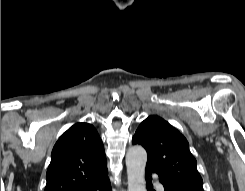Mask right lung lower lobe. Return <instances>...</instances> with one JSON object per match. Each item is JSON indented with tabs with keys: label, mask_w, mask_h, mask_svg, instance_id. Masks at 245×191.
<instances>
[{
	"label": "right lung lower lobe",
	"mask_w": 245,
	"mask_h": 191,
	"mask_svg": "<svg viewBox=\"0 0 245 191\" xmlns=\"http://www.w3.org/2000/svg\"><path fill=\"white\" fill-rule=\"evenodd\" d=\"M77 191H112L110 180L108 177L89 183L87 186Z\"/></svg>",
	"instance_id": "right-lung-lower-lobe-1"
}]
</instances>
